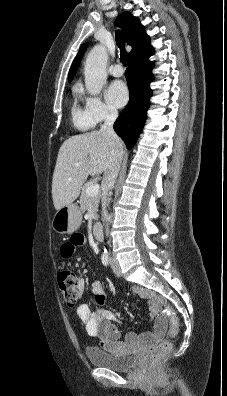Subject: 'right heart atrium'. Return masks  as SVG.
<instances>
[{
    "label": "right heart atrium",
    "mask_w": 227,
    "mask_h": 396,
    "mask_svg": "<svg viewBox=\"0 0 227 396\" xmlns=\"http://www.w3.org/2000/svg\"><path fill=\"white\" fill-rule=\"evenodd\" d=\"M85 112L94 124L113 120L117 116V111L112 106L105 103L100 97L85 96Z\"/></svg>",
    "instance_id": "d8ad5b80"
}]
</instances>
